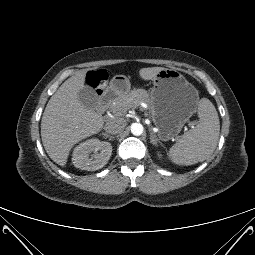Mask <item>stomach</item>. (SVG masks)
<instances>
[{
    "label": "stomach",
    "mask_w": 255,
    "mask_h": 255,
    "mask_svg": "<svg viewBox=\"0 0 255 255\" xmlns=\"http://www.w3.org/2000/svg\"><path fill=\"white\" fill-rule=\"evenodd\" d=\"M104 88L105 92L111 91L121 97L128 93L130 82L126 76L116 75ZM148 95L151 117L159 129L158 138L162 141L178 136L199 103L198 90L174 69L160 71L153 79V87Z\"/></svg>",
    "instance_id": "0dacf381"
}]
</instances>
